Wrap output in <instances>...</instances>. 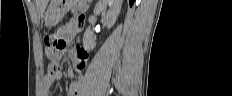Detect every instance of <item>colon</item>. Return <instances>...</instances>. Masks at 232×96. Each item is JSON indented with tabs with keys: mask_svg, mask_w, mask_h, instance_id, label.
Here are the masks:
<instances>
[{
	"mask_svg": "<svg viewBox=\"0 0 232 96\" xmlns=\"http://www.w3.org/2000/svg\"><path fill=\"white\" fill-rule=\"evenodd\" d=\"M45 43L47 50L49 51V56L53 60H57L60 56V52L65 48V41L62 39L60 32L54 31L45 38ZM59 65L55 62L51 63L50 69L53 72L59 70Z\"/></svg>",
	"mask_w": 232,
	"mask_h": 96,
	"instance_id": "1",
	"label": "colon"
}]
</instances>
